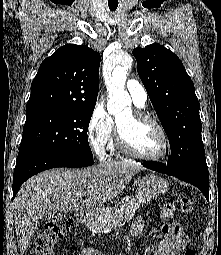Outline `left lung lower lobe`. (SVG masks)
<instances>
[{
  "instance_id": "1",
  "label": "left lung lower lobe",
  "mask_w": 221,
  "mask_h": 255,
  "mask_svg": "<svg viewBox=\"0 0 221 255\" xmlns=\"http://www.w3.org/2000/svg\"><path fill=\"white\" fill-rule=\"evenodd\" d=\"M142 165L151 170L167 175H173L182 181L190 183L199 188L207 199L209 197V172L206 163L182 168L179 170H173L169 168L168 165L157 162L142 163Z\"/></svg>"
}]
</instances>
